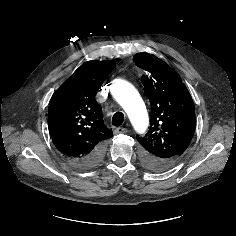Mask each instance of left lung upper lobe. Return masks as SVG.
<instances>
[{"mask_svg":"<svg viewBox=\"0 0 236 236\" xmlns=\"http://www.w3.org/2000/svg\"><path fill=\"white\" fill-rule=\"evenodd\" d=\"M135 64L146 71L142 76L145 92L151 102L150 127L144 137L141 159L154 171L174 165L189 146L195 131V109L192 97L176 73L163 60L148 53L134 56Z\"/></svg>","mask_w":236,"mask_h":236,"instance_id":"left-lung-upper-lobe-1","label":"left lung upper lobe"}]
</instances>
